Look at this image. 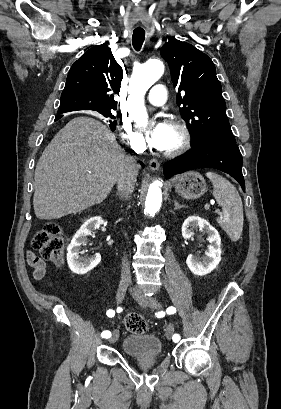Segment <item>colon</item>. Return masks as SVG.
I'll list each match as a JSON object with an SVG mask.
<instances>
[{
	"mask_svg": "<svg viewBox=\"0 0 281 409\" xmlns=\"http://www.w3.org/2000/svg\"><path fill=\"white\" fill-rule=\"evenodd\" d=\"M61 232L62 230L59 225L47 223L36 232L32 241L33 248L39 249L40 255H45V260L53 261L59 265L63 262L64 249V240L61 237ZM123 324L134 333H143L148 327L143 315L138 312L125 315Z\"/></svg>",
	"mask_w": 281,
	"mask_h": 409,
	"instance_id": "obj_1",
	"label": "colon"
}]
</instances>
